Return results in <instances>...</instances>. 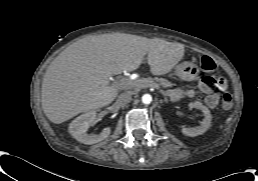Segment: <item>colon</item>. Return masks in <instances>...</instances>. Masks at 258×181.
<instances>
[{"label":"colon","instance_id":"5ec220e1","mask_svg":"<svg viewBox=\"0 0 258 181\" xmlns=\"http://www.w3.org/2000/svg\"><path fill=\"white\" fill-rule=\"evenodd\" d=\"M202 64H203V68L208 71H213L217 69V66L210 58L203 59ZM222 105L225 109H230L232 107V97L230 94L228 93L224 94L222 99Z\"/></svg>","mask_w":258,"mask_h":181}]
</instances>
